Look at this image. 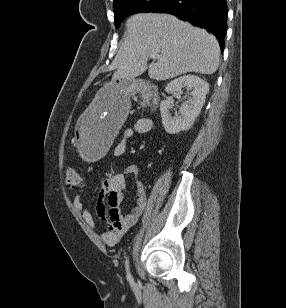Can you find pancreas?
<instances>
[{
    "mask_svg": "<svg viewBox=\"0 0 286 308\" xmlns=\"http://www.w3.org/2000/svg\"><path fill=\"white\" fill-rule=\"evenodd\" d=\"M143 101L141 102L142 107H146V104H148V97L144 94L142 96Z\"/></svg>",
    "mask_w": 286,
    "mask_h": 308,
    "instance_id": "obj_1",
    "label": "pancreas"
}]
</instances>
